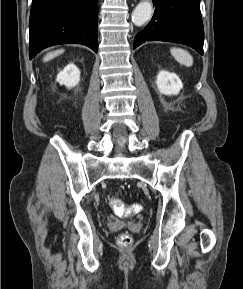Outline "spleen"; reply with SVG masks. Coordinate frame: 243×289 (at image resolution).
<instances>
[{
	"instance_id": "spleen-1",
	"label": "spleen",
	"mask_w": 243,
	"mask_h": 289,
	"mask_svg": "<svg viewBox=\"0 0 243 289\" xmlns=\"http://www.w3.org/2000/svg\"><path fill=\"white\" fill-rule=\"evenodd\" d=\"M170 52L176 61H178L180 64L187 67H191L193 65V57L188 51L181 48H172Z\"/></svg>"
}]
</instances>
